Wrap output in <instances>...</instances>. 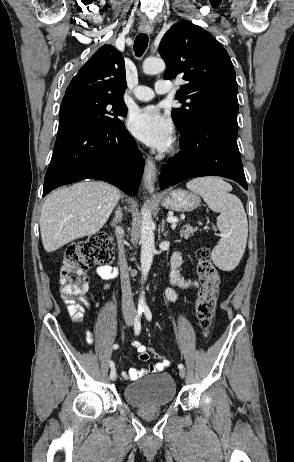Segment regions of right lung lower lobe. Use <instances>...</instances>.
Listing matches in <instances>:
<instances>
[{
	"instance_id": "right-lung-lower-lobe-1",
	"label": "right lung lower lobe",
	"mask_w": 294,
	"mask_h": 462,
	"mask_svg": "<svg viewBox=\"0 0 294 462\" xmlns=\"http://www.w3.org/2000/svg\"><path fill=\"white\" fill-rule=\"evenodd\" d=\"M144 159L123 123L58 134L44 180L43 196L83 179L109 182L136 195Z\"/></svg>"
}]
</instances>
